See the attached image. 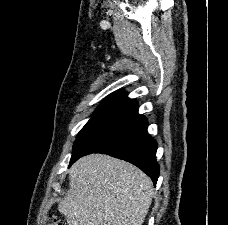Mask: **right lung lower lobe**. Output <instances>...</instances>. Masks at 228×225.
<instances>
[{
  "label": "right lung lower lobe",
  "mask_w": 228,
  "mask_h": 225,
  "mask_svg": "<svg viewBox=\"0 0 228 225\" xmlns=\"http://www.w3.org/2000/svg\"><path fill=\"white\" fill-rule=\"evenodd\" d=\"M147 126L146 117L138 114L137 101H131L85 137L72 152L69 166L82 156L103 153L136 165L156 185L157 142L147 133Z\"/></svg>",
  "instance_id": "98d812e1"
}]
</instances>
